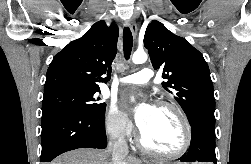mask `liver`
<instances>
[{
  "label": "liver",
  "mask_w": 251,
  "mask_h": 164,
  "mask_svg": "<svg viewBox=\"0 0 251 164\" xmlns=\"http://www.w3.org/2000/svg\"><path fill=\"white\" fill-rule=\"evenodd\" d=\"M50 164H113V160L109 150L78 149L59 156ZM122 164H140V161L127 157Z\"/></svg>",
  "instance_id": "obj_1"
}]
</instances>
